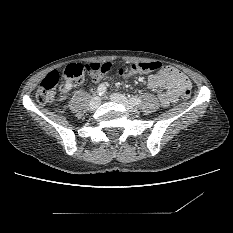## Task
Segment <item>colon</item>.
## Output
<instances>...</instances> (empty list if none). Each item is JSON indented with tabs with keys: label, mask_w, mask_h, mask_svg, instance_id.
Segmentation results:
<instances>
[{
	"label": "colon",
	"mask_w": 233,
	"mask_h": 233,
	"mask_svg": "<svg viewBox=\"0 0 233 233\" xmlns=\"http://www.w3.org/2000/svg\"><path fill=\"white\" fill-rule=\"evenodd\" d=\"M162 68L160 62H139L132 64L130 70L138 71L143 73L156 72ZM114 68L111 65L104 64H70L65 69V73L68 77L73 79H78L83 82V75L85 72L89 74L96 75H106L113 73ZM122 73L124 71L122 70ZM60 73L58 71L50 72L40 83L37 92L36 100L38 103L44 105L53 102L54 100V89L59 83ZM183 99L188 100L191 97V91L189 89H184L182 94Z\"/></svg>",
	"instance_id": "colon-1"
}]
</instances>
